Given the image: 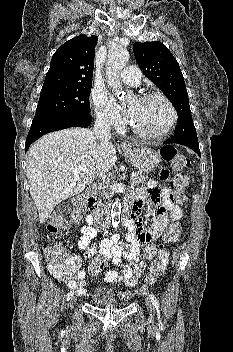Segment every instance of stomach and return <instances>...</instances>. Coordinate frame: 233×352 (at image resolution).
Returning <instances> with one entry per match:
<instances>
[{
	"mask_svg": "<svg viewBox=\"0 0 233 352\" xmlns=\"http://www.w3.org/2000/svg\"><path fill=\"white\" fill-rule=\"evenodd\" d=\"M125 157L141 172H151L161 161L160 155L148 147H133L123 150Z\"/></svg>",
	"mask_w": 233,
	"mask_h": 352,
	"instance_id": "obj_1",
	"label": "stomach"
}]
</instances>
